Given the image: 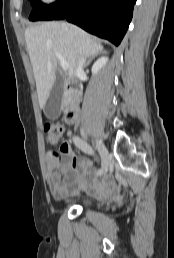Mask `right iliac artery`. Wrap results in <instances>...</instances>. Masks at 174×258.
Segmentation results:
<instances>
[{"mask_svg":"<svg viewBox=\"0 0 174 258\" xmlns=\"http://www.w3.org/2000/svg\"><path fill=\"white\" fill-rule=\"evenodd\" d=\"M73 141L75 143V145L82 150L84 153L88 154V155H92L94 153L93 149L91 148V146L89 144H87L83 139L75 136L73 138ZM103 173L102 169L98 170V175H101Z\"/></svg>","mask_w":174,"mask_h":258,"instance_id":"right-iliac-artery-1","label":"right iliac artery"}]
</instances>
